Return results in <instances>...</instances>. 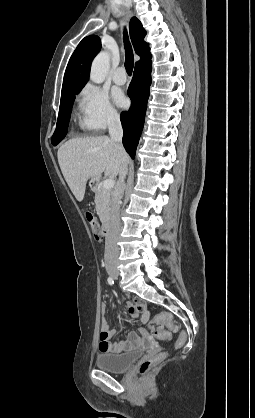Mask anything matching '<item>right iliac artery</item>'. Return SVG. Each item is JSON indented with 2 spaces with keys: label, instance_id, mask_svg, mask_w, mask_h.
<instances>
[{
  "label": "right iliac artery",
  "instance_id": "right-iliac-artery-1",
  "mask_svg": "<svg viewBox=\"0 0 255 418\" xmlns=\"http://www.w3.org/2000/svg\"><path fill=\"white\" fill-rule=\"evenodd\" d=\"M108 283L109 285H113L114 284V280L112 277H108Z\"/></svg>",
  "mask_w": 255,
  "mask_h": 418
}]
</instances>
